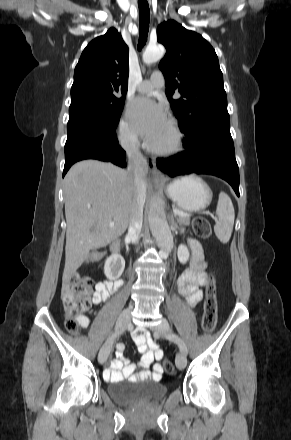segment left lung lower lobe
<instances>
[{
    "label": "left lung lower lobe",
    "mask_w": 291,
    "mask_h": 440,
    "mask_svg": "<svg viewBox=\"0 0 291 440\" xmlns=\"http://www.w3.org/2000/svg\"><path fill=\"white\" fill-rule=\"evenodd\" d=\"M183 147L185 151L168 161L158 162L157 168L171 177L192 173L218 176L226 180L239 196V169L229 120L203 125L183 139Z\"/></svg>",
    "instance_id": "left-lung-lower-lobe-1"
}]
</instances>
